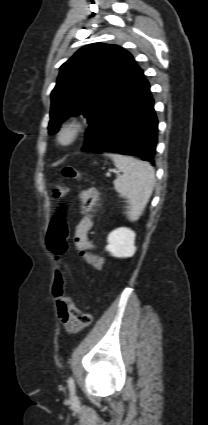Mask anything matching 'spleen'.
I'll use <instances>...</instances> for the list:
<instances>
[{"label": "spleen", "mask_w": 208, "mask_h": 425, "mask_svg": "<svg viewBox=\"0 0 208 425\" xmlns=\"http://www.w3.org/2000/svg\"><path fill=\"white\" fill-rule=\"evenodd\" d=\"M115 166L122 172L114 181V188L127 199V217L136 221L142 214L155 185L154 168L147 162L133 157L110 154Z\"/></svg>", "instance_id": "3e777b00"}]
</instances>
